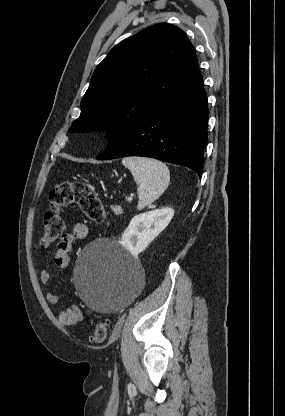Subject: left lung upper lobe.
Returning a JSON list of instances; mask_svg holds the SVG:
<instances>
[{
    "mask_svg": "<svg viewBox=\"0 0 285 416\" xmlns=\"http://www.w3.org/2000/svg\"><path fill=\"white\" fill-rule=\"evenodd\" d=\"M192 44L160 23L115 46L95 69L69 132L106 130L111 143L161 106L197 74Z\"/></svg>",
    "mask_w": 285,
    "mask_h": 416,
    "instance_id": "5c2ea615",
    "label": "left lung upper lobe"
}]
</instances>
